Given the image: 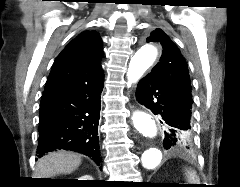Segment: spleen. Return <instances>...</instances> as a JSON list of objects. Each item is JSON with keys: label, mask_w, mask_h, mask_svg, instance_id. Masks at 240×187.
I'll return each instance as SVG.
<instances>
[{"label": "spleen", "mask_w": 240, "mask_h": 187, "mask_svg": "<svg viewBox=\"0 0 240 187\" xmlns=\"http://www.w3.org/2000/svg\"><path fill=\"white\" fill-rule=\"evenodd\" d=\"M187 178L189 182H195L192 184H196V182H199V178L196 175V172L193 170L187 171Z\"/></svg>", "instance_id": "1"}]
</instances>
